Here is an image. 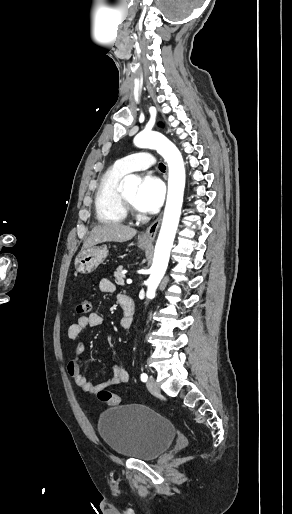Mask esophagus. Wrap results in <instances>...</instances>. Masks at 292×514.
Listing matches in <instances>:
<instances>
[{"mask_svg": "<svg viewBox=\"0 0 292 514\" xmlns=\"http://www.w3.org/2000/svg\"><path fill=\"white\" fill-rule=\"evenodd\" d=\"M161 222V216L158 217L147 229L140 235V242L151 243L156 237Z\"/></svg>", "mask_w": 292, "mask_h": 514, "instance_id": "1", "label": "esophagus"}]
</instances>
